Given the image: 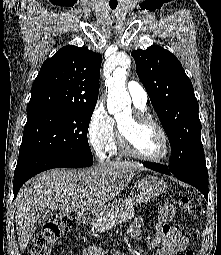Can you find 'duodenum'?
I'll list each match as a JSON object with an SVG mask.
<instances>
[{"instance_id":"duodenum-1","label":"duodenum","mask_w":221,"mask_h":255,"mask_svg":"<svg viewBox=\"0 0 221 255\" xmlns=\"http://www.w3.org/2000/svg\"><path fill=\"white\" fill-rule=\"evenodd\" d=\"M94 219V215L87 211H81L78 214V221L81 223H88Z\"/></svg>"}]
</instances>
